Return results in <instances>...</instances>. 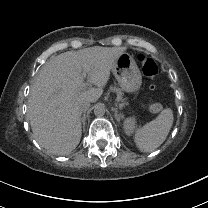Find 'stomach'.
<instances>
[{
  "label": "stomach",
  "instance_id": "stomach-1",
  "mask_svg": "<svg viewBox=\"0 0 208 208\" xmlns=\"http://www.w3.org/2000/svg\"><path fill=\"white\" fill-rule=\"evenodd\" d=\"M111 70L122 90L130 93L139 90L142 76L135 60L129 53L122 52L115 60Z\"/></svg>",
  "mask_w": 208,
  "mask_h": 208
}]
</instances>
